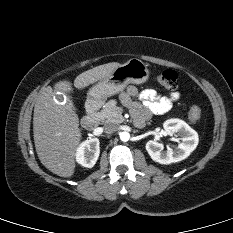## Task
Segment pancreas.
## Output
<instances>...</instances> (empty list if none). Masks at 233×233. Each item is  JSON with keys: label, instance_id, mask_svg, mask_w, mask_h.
<instances>
[{"label": "pancreas", "instance_id": "pancreas-1", "mask_svg": "<svg viewBox=\"0 0 233 233\" xmlns=\"http://www.w3.org/2000/svg\"><path fill=\"white\" fill-rule=\"evenodd\" d=\"M97 116L102 122L105 123H122L124 118L122 116V110L116 105L115 100H110L104 106V108L97 113Z\"/></svg>", "mask_w": 233, "mask_h": 233}]
</instances>
